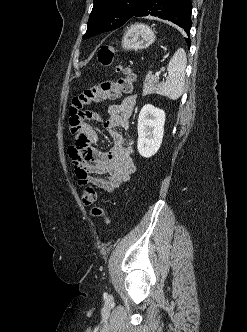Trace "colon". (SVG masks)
Returning <instances> with one entry per match:
<instances>
[{"instance_id":"colon-1","label":"colon","mask_w":247,"mask_h":332,"mask_svg":"<svg viewBox=\"0 0 247 332\" xmlns=\"http://www.w3.org/2000/svg\"><path fill=\"white\" fill-rule=\"evenodd\" d=\"M114 51L110 46H102L98 51L99 62L103 65H110L113 61ZM118 71L123 73V77L115 81H102L86 88L72 99L70 106V127L72 133H75L81 126L84 118L83 109L87 106L97 104L106 99H116L122 93H129L133 89L135 82V74L131 69L126 67L118 68ZM83 202L92 206L91 214L95 218H100L105 224H109L111 219L106 213L105 209L96 205L97 193L88 186L83 191Z\"/></svg>"}]
</instances>
